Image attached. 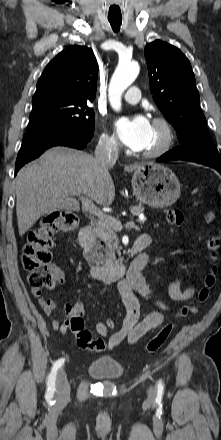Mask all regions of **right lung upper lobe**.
<instances>
[{
	"mask_svg": "<svg viewBox=\"0 0 221 440\" xmlns=\"http://www.w3.org/2000/svg\"><path fill=\"white\" fill-rule=\"evenodd\" d=\"M97 68L96 58L90 48L73 45L63 50L43 71L32 104L93 101L96 95Z\"/></svg>",
	"mask_w": 221,
	"mask_h": 440,
	"instance_id": "cb5924a9",
	"label": "right lung upper lobe"
}]
</instances>
